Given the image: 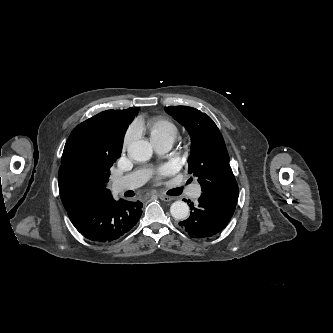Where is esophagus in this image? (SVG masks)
I'll list each match as a JSON object with an SVG mask.
<instances>
[{
	"label": "esophagus",
	"instance_id": "1",
	"mask_svg": "<svg viewBox=\"0 0 333 333\" xmlns=\"http://www.w3.org/2000/svg\"><path fill=\"white\" fill-rule=\"evenodd\" d=\"M158 196L164 202H170L173 200V197H171V196H167V195H163V194H159Z\"/></svg>",
	"mask_w": 333,
	"mask_h": 333
}]
</instances>
